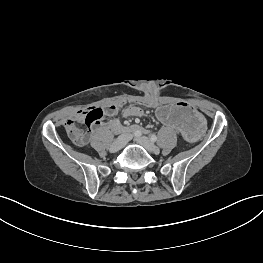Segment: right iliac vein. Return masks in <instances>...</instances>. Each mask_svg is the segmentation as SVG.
<instances>
[{
  "label": "right iliac vein",
  "mask_w": 263,
  "mask_h": 263,
  "mask_svg": "<svg viewBox=\"0 0 263 263\" xmlns=\"http://www.w3.org/2000/svg\"><path fill=\"white\" fill-rule=\"evenodd\" d=\"M130 137H131V135L129 133H125V134L120 135L111 144L110 151L116 152V151L120 150L121 148H123L127 144Z\"/></svg>",
  "instance_id": "right-iliac-vein-1"
}]
</instances>
